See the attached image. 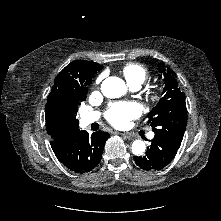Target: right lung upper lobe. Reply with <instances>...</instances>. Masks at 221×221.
<instances>
[{"label":"right lung upper lobe","mask_w":221,"mask_h":221,"mask_svg":"<svg viewBox=\"0 0 221 221\" xmlns=\"http://www.w3.org/2000/svg\"><path fill=\"white\" fill-rule=\"evenodd\" d=\"M102 67L94 62L75 60L55 78L45 106L46 127L53 151L69 145L79 131V122L62 123L54 118V114L67 111L77 97L86 95L92 75Z\"/></svg>","instance_id":"cb5924a9"}]
</instances>
